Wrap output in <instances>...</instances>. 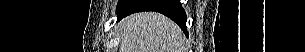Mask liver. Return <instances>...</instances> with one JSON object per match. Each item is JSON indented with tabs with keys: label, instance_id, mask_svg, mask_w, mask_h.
<instances>
[{
	"label": "liver",
	"instance_id": "1",
	"mask_svg": "<svg viewBox=\"0 0 305 52\" xmlns=\"http://www.w3.org/2000/svg\"><path fill=\"white\" fill-rule=\"evenodd\" d=\"M120 52H184L180 28L156 12H142L120 23Z\"/></svg>",
	"mask_w": 305,
	"mask_h": 52
}]
</instances>
